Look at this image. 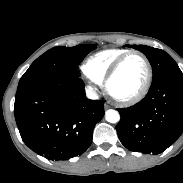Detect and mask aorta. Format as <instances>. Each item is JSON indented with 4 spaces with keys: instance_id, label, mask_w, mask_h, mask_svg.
<instances>
[{
    "instance_id": "aorta-1",
    "label": "aorta",
    "mask_w": 183,
    "mask_h": 183,
    "mask_svg": "<svg viewBox=\"0 0 183 183\" xmlns=\"http://www.w3.org/2000/svg\"><path fill=\"white\" fill-rule=\"evenodd\" d=\"M105 119H106V121H108L110 123H117L120 120V115H119L118 111L109 109L105 113Z\"/></svg>"
}]
</instances>
